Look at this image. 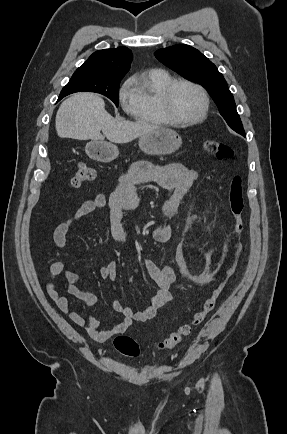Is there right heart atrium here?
Listing matches in <instances>:
<instances>
[{
    "label": "right heart atrium",
    "instance_id": "d8ad5b80",
    "mask_svg": "<svg viewBox=\"0 0 287 434\" xmlns=\"http://www.w3.org/2000/svg\"><path fill=\"white\" fill-rule=\"evenodd\" d=\"M118 98L123 109L126 112H130L136 103V95L133 88V78H129L124 82L118 92Z\"/></svg>",
    "mask_w": 287,
    "mask_h": 434
}]
</instances>
